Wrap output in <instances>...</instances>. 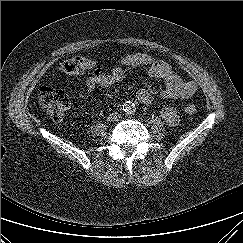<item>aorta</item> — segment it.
<instances>
[{
	"label": "aorta",
	"mask_w": 243,
	"mask_h": 243,
	"mask_svg": "<svg viewBox=\"0 0 243 243\" xmlns=\"http://www.w3.org/2000/svg\"><path fill=\"white\" fill-rule=\"evenodd\" d=\"M135 104L131 101H126L124 104H123V111L126 113V114H132L135 112Z\"/></svg>",
	"instance_id": "obj_1"
}]
</instances>
